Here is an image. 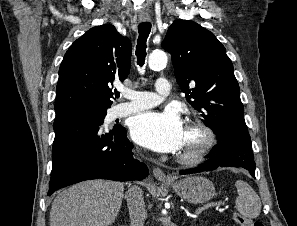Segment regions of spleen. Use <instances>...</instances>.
Wrapping results in <instances>:
<instances>
[{"label": "spleen", "mask_w": 297, "mask_h": 226, "mask_svg": "<svg viewBox=\"0 0 297 226\" xmlns=\"http://www.w3.org/2000/svg\"><path fill=\"white\" fill-rule=\"evenodd\" d=\"M238 197L236 199V209L246 218H256L261 212V201L258 194L245 181L238 180L235 183Z\"/></svg>", "instance_id": "1"}]
</instances>
